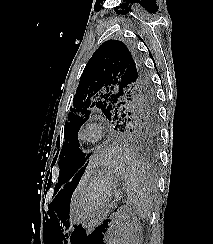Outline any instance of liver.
I'll use <instances>...</instances> for the list:
<instances>
[{"label": "liver", "instance_id": "obj_1", "mask_svg": "<svg viewBox=\"0 0 213 244\" xmlns=\"http://www.w3.org/2000/svg\"><path fill=\"white\" fill-rule=\"evenodd\" d=\"M109 158V155L106 154V155H95L92 157L91 161H90V164H89V170L92 171V169L95 168L96 165L98 164H101L103 165ZM90 172V171H89ZM87 177H85V180H86Z\"/></svg>", "mask_w": 213, "mask_h": 244}]
</instances>
